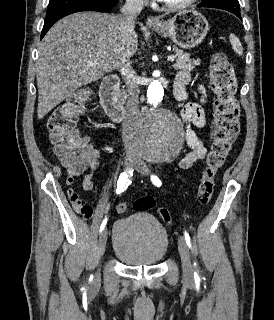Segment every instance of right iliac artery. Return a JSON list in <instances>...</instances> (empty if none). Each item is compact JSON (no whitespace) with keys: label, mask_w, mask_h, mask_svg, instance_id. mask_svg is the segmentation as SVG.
I'll list each match as a JSON object with an SVG mask.
<instances>
[{"label":"right iliac artery","mask_w":274,"mask_h":320,"mask_svg":"<svg viewBox=\"0 0 274 320\" xmlns=\"http://www.w3.org/2000/svg\"><path fill=\"white\" fill-rule=\"evenodd\" d=\"M133 175V170H130L128 172H123L121 173L118 182H117V194H120L122 191L126 190L128 186L130 185V177ZM107 217L102 221L101 226H100V232L103 231L104 227L106 226L107 223Z\"/></svg>","instance_id":"right-iliac-artery-1"}]
</instances>
